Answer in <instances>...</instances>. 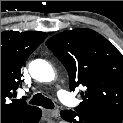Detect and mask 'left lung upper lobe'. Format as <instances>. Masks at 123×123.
Masks as SVG:
<instances>
[{
	"mask_svg": "<svg viewBox=\"0 0 123 123\" xmlns=\"http://www.w3.org/2000/svg\"><path fill=\"white\" fill-rule=\"evenodd\" d=\"M46 45L68 70L70 89L86 87L76 111L123 119V56L107 39L90 29H74L49 38Z\"/></svg>",
	"mask_w": 123,
	"mask_h": 123,
	"instance_id": "1",
	"label": "left lung upper lobe"
}]
</instances>
